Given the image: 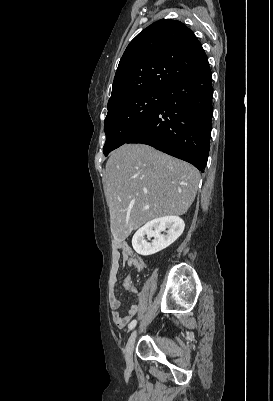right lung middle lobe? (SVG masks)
Listing matches in <instances>:
<instances>
[{
    "instance_id": "1",
    "label": "right lung middle lobe",
    "mask_w": 273,
    "mask_h": 401,
    "mask_svg": "<svg viewBox=\"0 0 273 401\" xmlns=\"http://www.w3.org/2000/svg\"><path fill=\"white\" fill-rule=\"evenodd\" d=\"M163 98V91L148 90L108 104V113L104 120L106 142L103 152L105 156L125 144L160 105Z\"/></svg>"
}]
</instances>
